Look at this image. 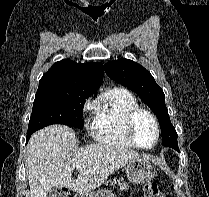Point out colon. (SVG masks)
Instances as JSON below:
<instances>
[{
	"mask_svg": "<svg viewBox=\"0 0 209 197\" xmlns=\"http://www.w3.org/2000/svg\"><path fill=\"white\" fill-rule=\"evenodd\" d=\"M144 197H165L155 181L146 183L143 187ZM57 197H72L68 191L59 192Z\"/></svg>",
	"mask_w": 209,
	"mask_h": 197,
	"instance_id": "1",
	"label": "colon"
}]
</instances>
